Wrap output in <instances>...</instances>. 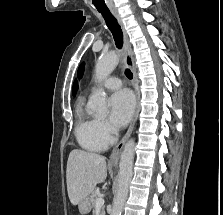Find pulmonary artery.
<instances>
[{
	"instance_id": "obj_1",
	"label": "pulmonary artery",
	"mask_w": 223,
	"mask_h": 215,
	"mask_svg": "<svg viewBox=\"0 0 223 215\" xmlns=\"http://www.w3.org/2000/svg\"><path fill=\"white\" fill-rule=\"evenodd\" d=\"M101 85L107 89H118L122 86V81L117 76L112 75L106 78ZM91 89L94 91L96 89V85H93Z\"/></svg>"
}]
</instances>
